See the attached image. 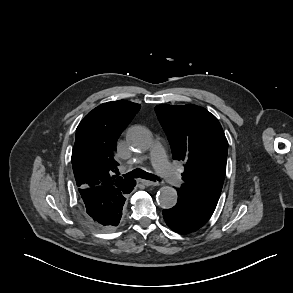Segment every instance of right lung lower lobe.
I'll return each mask as SVG.
<instances>
[{
    "mask_svg": "<svg viewBox=\"0 0 293 293\" xmlns=\"http://www.w3.org/2000/svg\"><path fill=\"white\" fill-rule=\"evenodd\" d=\"M136 183L130 180L124 186H97L79 188L83 209L87 218L96 226L106 229L116 227L122 217V209Z\"/></svg>",
    "mask_w": 293,
    "mask_h": 293,
    "instance_id": "98d812e1",
    "label": "right lung lower lobe"
}]
</instances>
